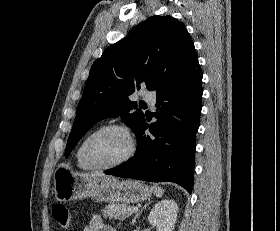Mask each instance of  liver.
Segmentation results:
<instances>
[{"label": "liver", "mask_w": 280, "mask_h": 231, "mask_svg": "<svg viewBox=\"0 0 280 231\" xmlns=\"http://www.w3.org/2000/svg\"><path fill=\"white\" fill-rule=\"evenodd\" d=\"M77 175H84V177H103V179L112 177V175H103V173H77Z\"/></svg>", "instance_id": "liver-1"}]
</instances>
